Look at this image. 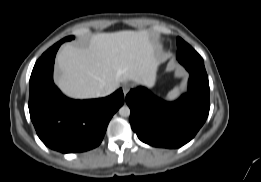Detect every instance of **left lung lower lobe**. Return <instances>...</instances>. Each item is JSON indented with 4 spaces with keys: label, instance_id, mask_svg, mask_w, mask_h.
<instances>
[{
    "label": "left lung lower lobe",
    "instance_id": "1",
    "mask_svg": "<svg viewBox=\"0 0 261 182\" xmlns=\"http://www.w3.org/2000/svg\"><path fill=\"white\" fill-rule=\"evenodd\" d=\"M178 61L190 74L188 91L178 100L166 102L144 87L132 89L126 96L132 130L154 147L183 146L193 139L209 114V82L203 60Z\"/></svg>",
    "mask_w": 261,
    "mask_h": 182
}]
</instances>
